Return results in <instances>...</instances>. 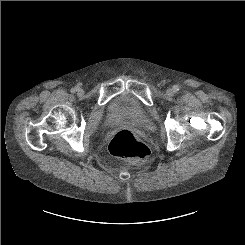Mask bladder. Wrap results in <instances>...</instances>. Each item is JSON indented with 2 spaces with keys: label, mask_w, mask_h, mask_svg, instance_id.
Returning a JSON list of instances; mask_svg holds the SVG:
<instances>
[{
  "label": "bladder",
  "mask_w": 245,
  "mask_h": 245,
  "mask_svg": "<svg viewBox=\"0 0 245 245\" xmlns=\"http://www.w3.org/2000/svg\"><path fill=\"white\" fill-rule=\"evenodd\" d=\"M105 116V124L118 120L145 124L149 119L145 107L129 95L113 98L107 105Z\"/></svg>",
  "instance_id": "1"
}]
</instances>
